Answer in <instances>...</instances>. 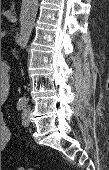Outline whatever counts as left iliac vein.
<instances>
[{"label":"left iliac vein","instance_id":"left-iliac-vein-1","mask_svg":"<svg viewBox=\"0 0 109 170\" xmlns=\"http://www.w3.org/2000/svg\"><path fill=\"white\" fill-rule=\"evenodd\" d=\"M22 124L24 126H28L30 124V119H29V115L27 112H24V114L22 116Z\"/></svg>","mask_w":109,"mask_h":170}]
</instances>
